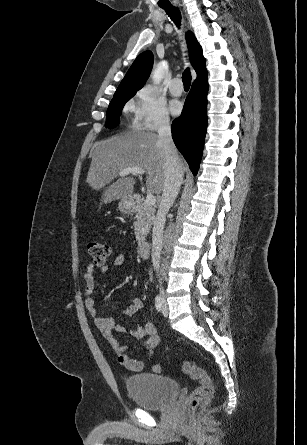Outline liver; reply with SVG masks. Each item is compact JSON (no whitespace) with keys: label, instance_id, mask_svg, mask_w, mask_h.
Returning a JSON list of instances; mask_svg holds the SVG:
<instances>
[{"label":"liver","instance_id":"liver-1","mask_svg":"<svg viewBox=\"0 0 307 445\" xmlns=\"http://www.w3.org/2000/svg\"><path fill=\"white\" fill-rule=\"evenodd\" d=\"M165 150L155 132H125L114 134L107 140H99L93 146L92 160L86 182L93 190H103L118 172L130 166L147 170L146 186L160 194L163 190ZM136 174L130 172L104 190L103 202L116 198H128L135 190Z\"/></svg>","mask_w":307,"mask_h":445}]
</instances>
